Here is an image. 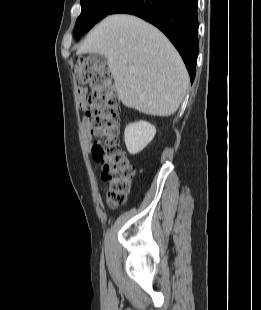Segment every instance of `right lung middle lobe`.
I'll return each mask as SVG.
<instances>
[{"mask_svg": "<svg viewBox=\"0 0 261 310\" xmlns=\"http://www.w3.org/2000/svg\"><path fill=\"white\" fill-rule=\"evenodd\" d=\"M124 0H81V14L78 17L74 36L78 40L91 29L102 18L111 13V11Z\"/></svg>", "mask_w": 261, "mask_h": 310, "instance_id": "1", "label": "right lung middle lobe"}]
</instances>
